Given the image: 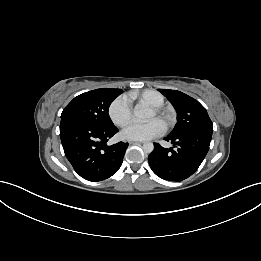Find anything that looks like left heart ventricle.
<instances>
[{
    "label": "left heart ventricle",
    "mask_w": 261,
    "mask_h": 261,
    "mask_svg": "<svg viewBox=\"0 0 261 261\" xmlns=\"http://www.w3.org/2000/svg\"><path fill=\"white\" fill-rule=\"evenodd\" d=\"M148 119H159L162 123H163V119L160 118L159 116H157L152 110H150L148 116H147Z\"/></svg>",
    "instance_id": "1"
}]
</instances>
